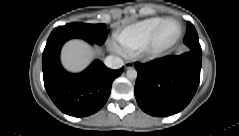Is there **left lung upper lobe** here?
<instances>
[{
	"instance_id": "left-lung-upper-lobe-1",
	"label": "left lung upper lobe",
	"mask_w": 239,
	"mask_h": 136,
	"mask_svg": "<svg viewBox=\"0 0 239 136\" xmlns=\"http://www.w3.org/2000/svg\"><path fill=\"white\" fill-rule=\"evenodd\" d=\"M184 43L190 48V51L202 53L197 32L194 26L190 22H188L187 24V30H186V35L184 37Z\"/></svg>"
}]
</instances>
